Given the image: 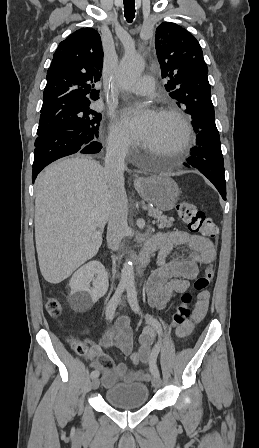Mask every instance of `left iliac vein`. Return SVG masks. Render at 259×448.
I'll list each match as a JSON object with an SVG mask.
<instances>
[{
  "instance_id": "1",
  "label": "left iliac vein",
  "mask_w": 259,
  "mask_h": 448,
  "mask_svg": "<svg viewBox=\"0 0 259 448\" xmlns=\"http://www.w3.org/2000/svg\"><path fill=\"white\" fill-rule=\"evenodd\" d=\"M152 384L155 388H159L161 386V378L159 376H154L152 379Z\"/></svg>"
}]
</instances>
